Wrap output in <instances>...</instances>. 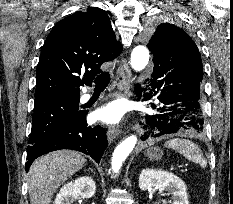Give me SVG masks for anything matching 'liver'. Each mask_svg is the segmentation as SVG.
I'll use <instances>...</instances> for the list:
<instances>
[{
    "instance_id": "liver-1",
    "label": "liver",
    "mask_w": 233,
    "mask_h": 204,
    "mask_svg": "<svg viewBox=\"0 0 233 204\" xmlns=\"http://www.w3.org/2000/svg\"><path fill=\"white\" fill-rule=\"evenodd\" d=\"M86 159L76 151L59 150L33 162L28 173L31 204H50L53 194L85 165Z\"/></svg>"
}]
</instances>
